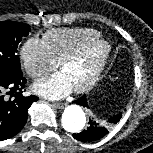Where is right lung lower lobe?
I'll return each instance as SVG.
<instances>
[{"instance_id": "1", "label": "right lung lower lobe", "mask_w": 153, "mask_h": 153, "mask_svg": "<svg viewBox=\"0 0 153 153\" xmlns=\"http://www.w3.org/2000/svg\"><path fill=\"white\" fill-rule=\"evenodd\" d=\"M26 82L23 75L0 71V141L11 138L22 130L27 121L29 107L38 100L34 95H22Z\"/></svg>"}]
</instances>
